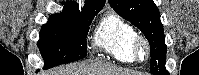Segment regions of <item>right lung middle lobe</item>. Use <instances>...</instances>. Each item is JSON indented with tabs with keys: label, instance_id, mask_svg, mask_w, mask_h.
I'll use <instances>...</instances> for the list:
<instances>
[{
	"label": "right lung middle lobe",
	"instance_id": "dd1d6c3e",
	"mask_svg": "<svg viewBox=\"0 0 199 75\" xmlns=\"http://www.w3.org/2000/svg\"><path fill=\"white\" fill-rule=\"evenodd\" d=\"M93 16L62 12L51 15L41 27L38 47L44 68L82 59L87 54L86 37Z\"/></svg>",
	"mask_w": 199,
	"mask_h": 75
}]
</instances>
